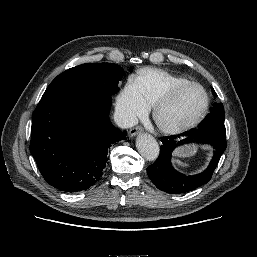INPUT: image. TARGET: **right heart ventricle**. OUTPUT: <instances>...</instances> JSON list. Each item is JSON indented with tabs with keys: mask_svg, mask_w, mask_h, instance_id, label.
Instances as JSON below:
<instances>
[{
	"mask_svg": "<svg viewBox=\"0 0 257 257\" xmlns=\"http://www.w3.org/2000/svg\"><path fill=\"white\" fill-rule=\"evenodd\" d=\"M145 101L151 107L171 88L190 82L189 79L158 68L141 69L134 77Z\"/></svg>",
	"mask_w": 257,
	"mask_h": 257,
	"instance_id": "right-heart-ventricle-1",
	"label": "right heart ventricle"
}]
</instances>
